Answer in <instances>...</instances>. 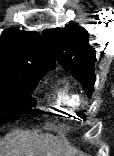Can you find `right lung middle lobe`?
I'll return each mask as SVG.
<instances>
[{"label": "right lung middle lobe", "instance_id": "dd1d6c3e", "mask_svg": "<svg viewBox=\"0 0 114 156\" xmlns=\"http://www.w3.org/2000/svg\"><path fill=\"white\" fill-rule=\"evenodd\" d=\"M43 75L0 77V121L6 123L34 106L30 92Z\"/></svg>", "mask_w": 114, "mask_h": 156}]
</instances>
